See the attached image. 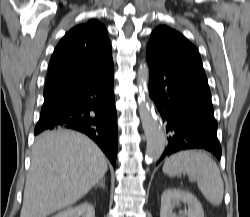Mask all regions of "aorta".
Listing matches in <instances>:
<instances>
[{
	"label": "aorta",
	"mask_w": 250,
	"mask_h": 217,
	"mask_svg": "<svg viewBox=\"0 0 250 217\" xmlns=\"http://www.w3.org/2000/svg\"><path fill=\"white\" fill-rule=\"evenodd\" d=\"M148 80V65L147 63H141L137 73V83L139 87L138 108L147 140L145 158L149 162H155L164 152L166 138L162 123L157 118L152 103L146 97V85Z\"/></svg>",
	"instance_id": "obj_1"
}]
</instances>
